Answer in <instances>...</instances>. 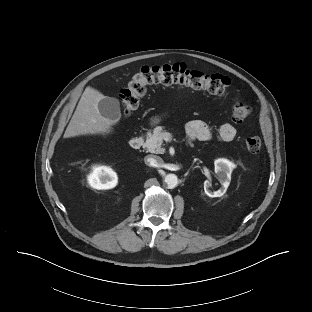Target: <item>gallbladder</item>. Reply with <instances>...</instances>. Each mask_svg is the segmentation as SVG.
Listing matches in <instances>:
<instances>
[{"label": "gallbladder", "instance_id": "1", "mask_svg": "<svg viewBox=\"0 0 312 312\" xmlns=\"http://www.w3.org/2000/svg\"><path fill=\"white\" fill-rule=\"evenodd\" d=\"M98 109L102 116L113 122H117L121 117L120 103L114 97H104L101 99L98 103Z\"/></svg>", "mask_w": 312, "mask_h": 312}]
</instances>
